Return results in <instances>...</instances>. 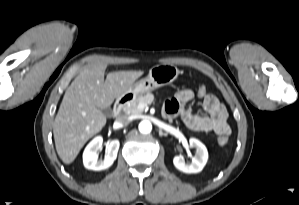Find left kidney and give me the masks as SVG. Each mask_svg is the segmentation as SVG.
Segmentation results:
<instances>
[{
  "mask_svg": "<svg viewBox=\"0 0 299 205\" xmlns=\"http://www.w3.org/2000/svg\"><path fill=\"white\" fill-rule=\"evenodd\" d=\"M189 143L191 147L196 149V155L192 158V162L187 164L180 156H175L173 164L184 173H198L207 163L208 151L205 145L196 138H190Z\"/></svg>",
  "mask_w": 299,
  "mask_h": 205,
  "instance_id": "left-kidney-1",
  "label": "left kidney"
}]
</instances>
